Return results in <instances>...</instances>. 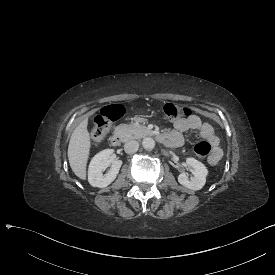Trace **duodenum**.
<instances>
[{"label":"duodenum","mask_w":275,"mask_h":275,"mask_svg":"<svg viewBox=\"0 0 275 275\" xmlns=\"http://www.w3.org/2000/svg\"><path fill=\"white\" fill-rule=\"evenodd\" d=\"M156 137L160 142L168 146H177L179 144L178 139L175 136L168 133L157 134ZM122 141L123 134L120 131L114 132L110 137V143L113 146H119L122 143Z\"/></svg>","instance_id":"duodenum-1"}]
</instances>
